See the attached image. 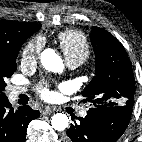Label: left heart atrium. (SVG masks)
Instances as JSON below:
<instances>
[{"mask_svg": "<svg viewBox=\"0 0 142 142\" xmlns=\"http://www.w3.org/2000/svg\"><path fill=\"white\" fill-rule=\"evenodd\" d=\"M41 95L44 97V98H48L50 93L48 90L44 89L41 91Z\"/></svg>", "mask_w": 142, "mask_h": 142, "instance_id": "left-heart-atrium-1", "label": "left heart atrium"}]
</instances>
